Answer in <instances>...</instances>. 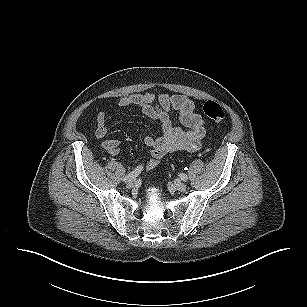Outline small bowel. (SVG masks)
Returning <instances> with one entry per match:
<instances>
[{"label": "small bowel", "mask_w": 307, "mask_h": 307, "mask_svg": "<svg viewBox=\"0 0 307 307\" xmlns=\"http://www.w3.org/2000/svg\"><path fill=\"white\" fill-rule=\"evenodd\" d=\"M120 107H140L143 113L161 125V134L148 135L145 144L150 147V159L146 162L147 169L155 168L160 160L170 153L194 152L201 148L202 139L206 135V121L195 112L193 100L184 95L161 93L158 96L151 92L123 96L119 100ZM178 112L183 127L173 123L169 112ZM112 114L100 112L96 118L95 136L102 139V147L109 155H116L121 143L116 139H105L107 123Z\"/></svg>", "instance_id": "1"}]
</instances>
